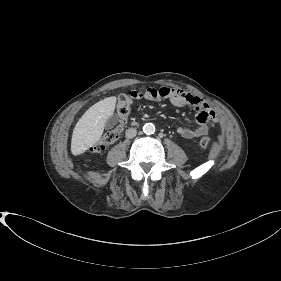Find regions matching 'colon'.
Segmentation results:
<instances>
[{
	"label": "colon",
	"instance_id": "colon-1",
	"mask_svg": "<svg viewBox=\"0 0 281 281\" xmlns=\"http://www.w3.org/2000/svg\"><path fill=\"white\" fill-rule=\"evenodd\" d=\"M117 114L119 124L112 130L106 132L103 137L91 147L93 153H101L106 147L114 144L120 137L123 126L126 123L131 110V98L128 95H121L117 101ZM212 141L208 137H201L198 145L200 148H208Z\"/></svg>",
	"mask_w": 281,
	"mask_h": 281
}]
</instances>
